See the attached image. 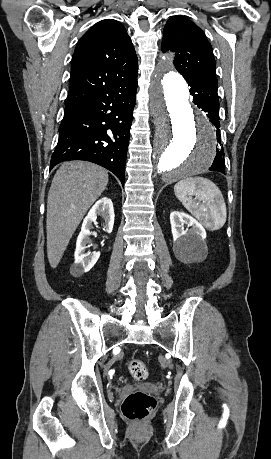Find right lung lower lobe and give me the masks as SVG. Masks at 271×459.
I'll return each mask as SVG.
<instances>
[{"label":"right lung lower lobe","mask_w":271,"mask_h":459,"mask_svg":"<svg viewBox=\"0 0 271 459\" xmlns=\"http://www.w3.org/2000/svg\"><path fill=\"white\" fill-rule=\"evenodd\" d=\"M136 88L137 75L65 111L50 170L63 161L85 160L110 170L124 184Z\"/></svg>","instance_id":"98d812e1"}]
</instances>
